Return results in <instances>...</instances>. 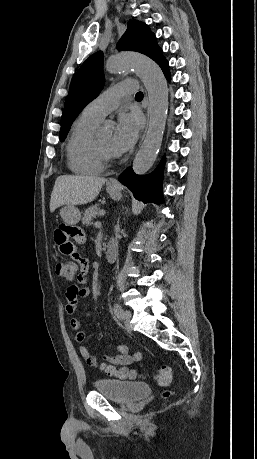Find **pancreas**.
<instances>
[{"label": "pancreas", "instance_id": "1", "mask_svg": "<svg viewBox=\"0 0 257 459\" xmlns=\"http://www.w3.org/2000/svg\"><path fill=\"white\" fill-rule=\"evenodd\" d=\"M100 213L99 204H95L87 208L82 217V223L85 225L91 224L93 218H95Z\"/></svg>", "mask_w": 257, "mask_h": 459}]
</instances>
